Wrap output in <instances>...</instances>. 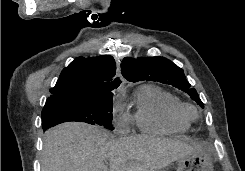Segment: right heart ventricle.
Here are the masks:
<instances>
[{
  "instance_id": "e07e8e85",
  "label": "right heart ventricle",
  "mask_w": 245,
  "mask_h": 171,
  "mask_svg": "<svg viewBox=\"0 0 245 171\" xmlns=\"http://www.w3.org/2000/svg\"><path fill=\"white\" fill-rule=\"evenodd\" d=\"M182 102L162 88L145 84L135 94L133 121L147 134H172L185 132L190 121L180 112Z\"/></svg>"
}]
</instances>
